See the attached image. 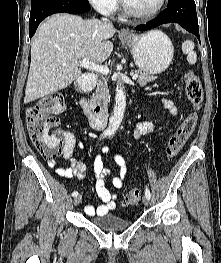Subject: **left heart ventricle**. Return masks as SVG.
<instances>
[{"instance_id":"b2bd125f","label":"left heart ventricle","mask_w":221,"mask_h":263,"mask_svg":"<svg viewBox=\"0 0 221 263\" xmlns=\"http://www.w3.org/2000/svg\"><path fill=\"white\" fill-rule=\"evenodd\" d=\"M130 6L138 11H150L154 9L160 0H127Z\"/></svg>"}]
</instances>
